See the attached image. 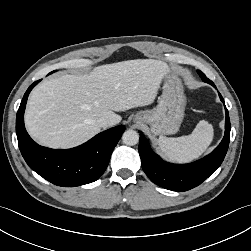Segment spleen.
Masks as SVG:
<instances>
[{"mask_svg": "<svg viewBox=\"0 0 251 251\" xmlns=\"http://www.w3.org/2000/svg\"><path fill=\"white\" fill-rule=\"evenodd\" d=\"M213 136V126L207 121L201 120L190 135L177 138L161 136L158 144L168 159L185 163L200 157L211 144Z\"/></svg>", "mask_w": 251, "mask_h": 251, "instance_id": "1", "label": "spleen"}]
</instances>
